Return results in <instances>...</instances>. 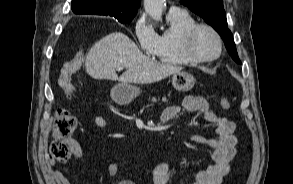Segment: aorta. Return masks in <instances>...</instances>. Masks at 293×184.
Wrapping results in <instances>:
<instances>
[{"mask_svg": "<svg viewBox=\"0 0 293 184\" xmlns=\"http://www.w3.org/2000/svg\"><path fill=\"white\" fill-rule=\"evenodd\" d=\"M166 0H144L146 13L154 20L160 21Z\"/></svg>", "mask_w": 293, "mask_h": 184, "instance_id": "762f6f07", "label": "aorta"}]
</instances>
